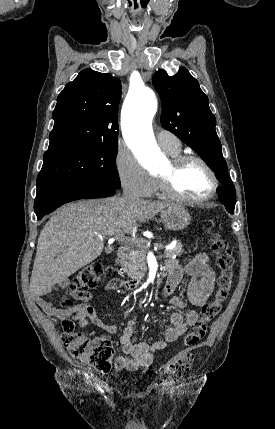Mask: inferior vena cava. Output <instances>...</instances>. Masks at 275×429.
Segmentation results:
<instances>
[{"mask_svg": "<svg viewBox=\"0 0 275 429\" xmlns=\"http://www.w3.org/2000/svg\"><path fill=\"white\" fill-rule=\"evenodd\" d=\"M123 199L126 201H134L137 200L138 198L131 192L130 189L128 188H124L123 190Z\"/></svg>", "mask_w": 275, "mask_h": 429, "instance_id": "inferior-vena-cava-1", "label": "inferior vena cava"}]
</instances>
